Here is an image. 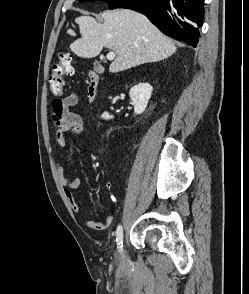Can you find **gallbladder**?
I'll list each match as a JSON object with an SVG mask.
<instances>
[{
	"label": "gallbladder",
	"mask_w": 249,
	"mask_h": 294,
	"mask_svg": "<svg viewBox=\"0 0 249 294\" xmlns=\"http://www.w3.org/2000/svg\"><path fill=\"white\" fill-rule=\"evenodd\" d=\"M97 72L102 73L103 72V68L102 67H96Z\"/></svg>",
	"instance_id": "bac80fb5"
}]
</instances>
